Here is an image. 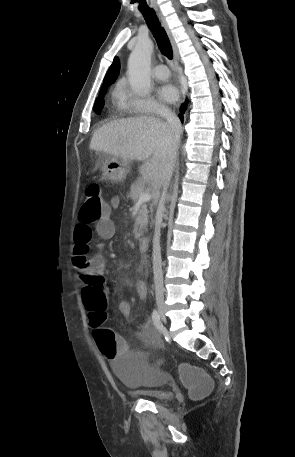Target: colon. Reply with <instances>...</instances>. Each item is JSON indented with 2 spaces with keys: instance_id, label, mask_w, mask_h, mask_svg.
Returning a JSON list of instances; mask_svg holds the SVG:
<instances>
[{
  "instance_id": "1",
  "label": "colon",
  "mask_w": 295,
  "mask_h": 457,
  "mask_svg": "<svg viewBox=\"0 0 295 457\" xmlns=\"http://www.w3.org/2000/svg\"><path fill=\"white\" fill-rule=\"evenodd\" d=\"M109 214V207L102 196L101 188L97 184H91L85 191V199L79 210V222L90 226ZM88 248L79 246L75 249L73 265L78 270H83L88 263ZM106 278L99 274H87V286L83 289L82 299L88 311L90 326L96 343L100 348L101 359H110L113 362L126 363L127 350L130 342L124 341V333L119 330H110L106 326L107 295ZM178 377H183V382L189 389L190 396L199 399L211 390L212 384L205 369H196L193 365L187 368L185 365L176 371Z\"/></svg>"
}]
</instances>
